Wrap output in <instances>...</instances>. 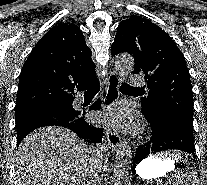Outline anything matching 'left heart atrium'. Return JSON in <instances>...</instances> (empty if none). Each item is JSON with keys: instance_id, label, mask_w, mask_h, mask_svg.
Returning a JSON list of instances; mask_svg holds the SVG:
<instances>
[{"instance_id": "left-heart-atrium-1", "label": "left heart atrium", "mask_w": 207, "mask_h": 185, "mask_svg": "<svg viewBox=\"0 0 207 185\" xmlns=\"http://www.w3.org/2000/svg\"><path fill=\"white\" fill-rule=\"evenodd\" d=\"M103 118L111 126L125 132L134 131L137 128V122L131 116L129 107L124 104L107 110Z\"/></svg>"}]
</instances>
